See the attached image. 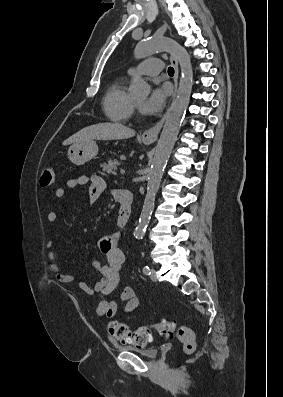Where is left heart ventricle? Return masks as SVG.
Here are the masks:
<instances>
[{"mask_svg":"<svg viewBox=\"0 0 283 397\" xmlns=\"http://www.w3.org/2000/svg\"><path fill=\"white\" fill-rule=\"evenodd\" d=\"M142 102H143V99H136V100H135V103H136L137 105H140Z\"/></svg>","mask_w":283,"mask_h":397,"instance_id":"obj_1","label":"left heart ventricle"}]
</instances>
